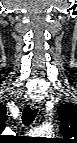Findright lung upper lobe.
<instances>
[{
    "label": "right lung upper lobe",
    "mask_w": 77,
    "mask_h": 143,
    "mask_svg": "<svg viewBox=\"0 0 77 143\" xmlns=\"http://www.w3.org/2000/svg\"><path fill=\"white\" fill-rule=\"evenodd\" d=\"M6 116V107L5 106H0V126L3 129L5 127V121L7 120Z\"/></svg>",
    "instance_id": "1"
}]
</instances>
